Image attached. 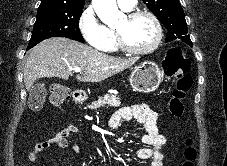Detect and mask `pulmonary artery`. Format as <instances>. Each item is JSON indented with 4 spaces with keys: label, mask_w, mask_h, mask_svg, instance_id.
I'll use <instances>...</instances> for the list:
<instances>
[{
    "label": "pulmonary artery",
    "mask_w": 227,
    "mask_h": 166,
    "mask_svg": "<svg viewBox=\"0 0 227 166\" xmlns=\"http://www.w3.org/2000/svg\"><path fill=\"white\" fill-rule=\"evenodd\" d=\"M118 5L123 10H131L136 5L137 0H117Z\"/></svg>",
    "instance_id": "obj_1"
}]
</instances>
